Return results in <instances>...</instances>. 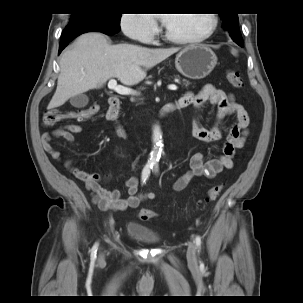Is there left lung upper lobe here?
I'll return each mask as SVG.
<instances>
[{
	"label": "left lung upper lobe",
	"instance_id": "left-lung-upper-lobe-1",
	"mask_svg": "<svg viewBox=\"0 0 303 303\" xmlns=\"http://www.w3.org/2000/svg\"><path fill=\"white\" fill-rule=\"evenodd\" d=\"M223 20V26L228 30L234 42L238 45L243 46L241 34L238 27V15L236 13H221L220 14Z\"/></svg>",
	"mask_w": 303,
	"mask_h": 303
}]
</instances>
